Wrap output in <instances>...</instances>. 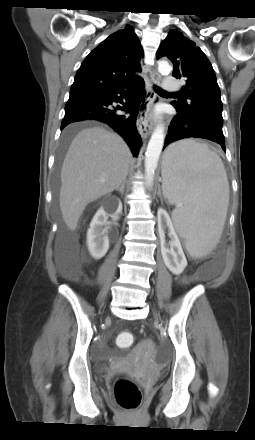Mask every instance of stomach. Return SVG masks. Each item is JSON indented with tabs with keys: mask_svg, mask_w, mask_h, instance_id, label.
I'll return each mask as SVG.
<instances>
[{
	"mask_svg": "<svg viewBox=\"0 0 255 440\" xmlns=\"http://www.w3.org/2000/svg\"><path fill=\"white\" fill-rule=\"evenodd\" d=\"M169 160V150L165 153L163 158V165H166Z\"/></svg>",
	"mask_w": 255,
	"mask_h": 440,
	"instance_id": "obj_1",
	"label": "stomach"
}]
</instances>
